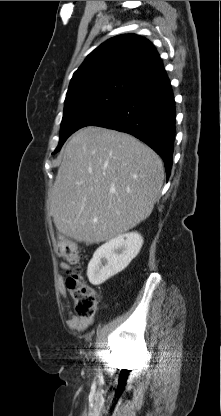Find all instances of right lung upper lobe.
<instances>
[{"mask_svg":"<svg viewBox=\"0 0 221 416\" xmlns=\"http://www.w3.org/2000/svg\"><path fill=\"white\" fill-rule=\"evenodd\" d=\"M166 77L151 42L134 34L119 35L91 52L75 71L65 102L99 90L133 92L160 83Z\"/></svg>","mask_w":221,"mask_h":416,"instance_id":"obj_1","label":"right lung upper lobe"}]
</instances>
